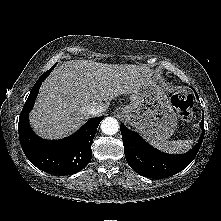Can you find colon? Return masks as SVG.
Segmentation results:
<instances>
[{"instance_id":"1","label":"colon","mask_w":221,"mask_h":221,"mask_svg":"<svg viewBox=\"0 0 221 221\" xmlns=\"http://www.w3.org/2000/svg\"><path fill=\"white\" fill-rule=\"evenodd\" d=\"M171 103L184 121L192 119L193 96L187 91H180L171 97Z\"/></svg>"}]
</instances>
